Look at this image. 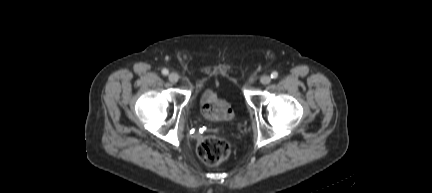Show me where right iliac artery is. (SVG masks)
Listing matches in <instances>:
<instances>
[{"label": "right iliac artery", "mask_w": 432, "mask_h": 193, "mask_svg": "<svg viewBox=\"0 0 432 193\" xmlns=\"http://www.w3.org/2000/svg\"><path fill=\"white\" fill-rule=\"evenodd\" d=\"M168 73H169V71H168L167 69L164 68V69L162 70V74H163V75H168Z\"/></svg>", "instance_id": "obj_1"}]
</instances>
